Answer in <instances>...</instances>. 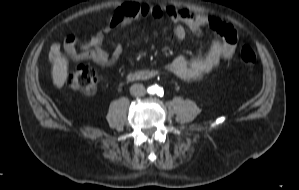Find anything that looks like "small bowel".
Masks as SVG:
<instances>
[{
	"instance_id": "obj_1",
	"label": "small bowel",
	"mask_w": 299,
	"mask_h": 190,
	"mask_svg": "<svg viewBox=\"0 0 299 190\" xmlns=\"http://www.w3.org/2000/svg\"><path fill=\"white\" fill-rule=\"evenodd\" d=\"M164 13L169 15L176 23L174 35L178 41L186 37V28L199 33L208 26L214 29L221 37L210 47L208 53L191 60L184 55L176 56L165 69L180 79L194 81L212 72L222 60L229 59L236 48L237 34L229 25L218 19L207 16L195 15L187 8H176L159 5L139 4L135 2H123L116 6L109 15L108 25L94 34L88 42L80 43L74 36H68L63 45L54 43L50 47V60L59 59L63 53L76 61H93L101 66L115 64L122 55L123 48L118 42L113 43V51L109 54L103 48L106 36L115 28H121L140 17H161Z\"/></svg>"
}]
</instances>
